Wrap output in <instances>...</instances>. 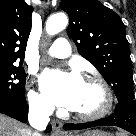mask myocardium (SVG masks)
<instances>
[{"label":"myocardium","instance_id":"1","mask_svg":"<svg viewBox=\"0 0 136 136\" xmlns=\"http://www.w3.org/2000/svg\"><path fill=\"white\" fill-rule=\"evenodd\" d=\"M86 82L96 84L101 88L104 94V104L96 112L90 114H84L74 112L75 116L84 121H95L105 117L112 109L114 103V96L108 83L101 77L96 75H90L86 78Z\"/></svg>","mask_w":136,"mask_h":136}]
</instances>
